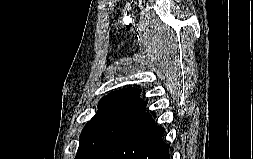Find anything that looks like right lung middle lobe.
<instances>
[{
    "instance_id": "1",
    "label": "right lung middle lobe",
    "mask_w": 253,
    "mask_h": 159,
    "mask_svg": "<svg viewBox=\"0 0 253 159\" xmlns=\"http://www.w3.org/2000/svg\"><path fill=\"white\" fill-rule=\"evenodd\" d=\"M150 115L146 102L126 98H103L99 110L86 124L75 159H91Z\"/></svg>"
}]
</instances>
